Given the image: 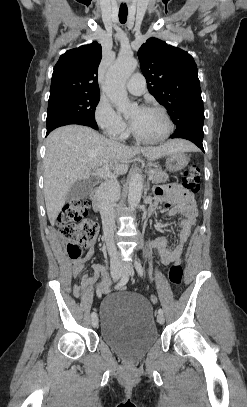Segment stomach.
Returning a JSON list of instances; mask_svg holds the SVG:
<instances>
[{"instance_id":"1","label":"stomach","mask_w":247,"mask_h":407,"mask_svg":"<svg viewBox=\"0 0 247 407\" xmlns=\"http://www.w3.org/2000/svg\"><path fill=\"white\" fill-rule=\"evenodd\" d=\"M164 157L166 169L171 172L184 169L190 161L189 156L182 151L166 154Z\"/></svg>"}]
</instances>
